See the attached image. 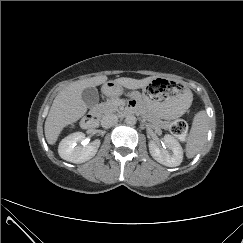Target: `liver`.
<instances>
[{
  "label": "liver",
  "mask_w": 243,
  "mask_h": 243,
  "mask_svg": "<svg viewBox=\"0 0 243 243\" xmlns=\"http://www.w3.org/2000/svg\"><path fill=\"white\" fill-rule=\"evenodd\" d=\"M107 76H96L71 83L55 97L45 121V137L50 145H54L66 126L78 121L86 112L87 105L82 99V92L88 87H96L107 81ZM155 77L132 79L121 77L114 82L127 89H140L148 86Z\"/></svg>",
  "instance_id": "obj_1"
}]
</instances>
